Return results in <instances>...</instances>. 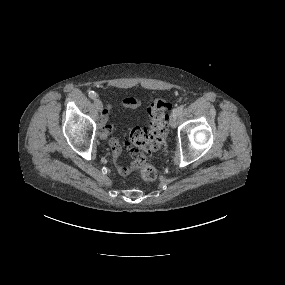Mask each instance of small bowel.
Listing matches in <instances>:
<instances>
[{
	"label": "small bowel",
	"mask_w": 285,
	"mask_h": 285,
	"mask_svg": "<svg viewBox=\"0 0 285 285\" xmlns=\"http://www.w3.org/2000/svg\"><path fill=\"white\" fill-rule=\"evenodd\" d=\"M141 104L142 102L134 97H125L107 104L101 115V128L99 130V136L103 139H106L115 129L114 125H105L113 110H116L118 108H138L141 106ZM111 142H113V144L111 145V148L113 149V161L118 173L121 175L129 174L130 168L119 161V155L121 153V146L119 141L115 138H111L110 143Z\"/></svg>",
	"instance_id": "c3829d8e"
}]
</instances>
